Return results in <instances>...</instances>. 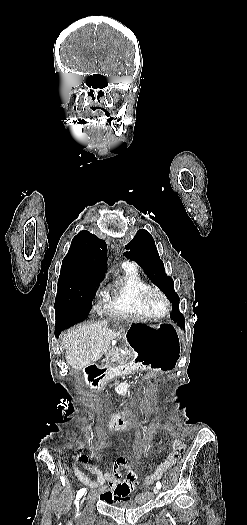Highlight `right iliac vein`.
Segmentation results:
<instances>
[{
    "mask_svg": "<svg viewBox=\"0 0 247 525\" xmlns=\"http://www.w3.org/2000/svg\"><path fill=\"white\" fill-rule=\"evenodd\" d=\"M86 500V496H84L81 500V504Z\"/></svg>",
    "mask_w": 247,
    "mask_h": 525,
    "instance_id": "obj_1",
    "label": "right iliac vein"
}]
</instances>
